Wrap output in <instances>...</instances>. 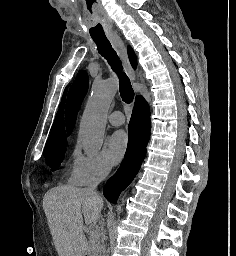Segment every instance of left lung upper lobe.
Listing matches in <instances>:
<instances>
[{
    "label": "left lung upper lobe",
    "instance_id": "obj_1",
    "mask_svg": "<svg viewBox=\"0 0 236 256\" xmlns=\"http://www.w3.org/2000/svg\"><path fill=\"white\" fill-rule=\"evenodd\" d=\"M88 85V75L85 71H82L78 74L70 88L66 106V126L68 135H70L74 128L77 113L87 93Z\"/></svg>",
    "mask_w": 236,
    "mask_h": 256
}]
</instances>
